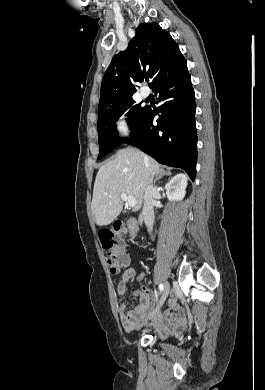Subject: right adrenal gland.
Instances as JSON below:
<instances>
[{
	"mask_svg": "<svg viewBox=\"0 0 265 390\" xmlns=\"http://www.w3.org/2000/svg\"><path fill=\"white\" fill-rule=\"evenodd\" d=\"M170 175H171L170 172H166L165 170L161 169L159 176L156 177L154 182L159 181L163 176H170Z\"/></svg>",
	"mask_w": 265,
	"mask_h": 390,
	"instance_id": "right-adrenal-gland-1",
	"label": "right adrenal gland"
}]
</instances>
